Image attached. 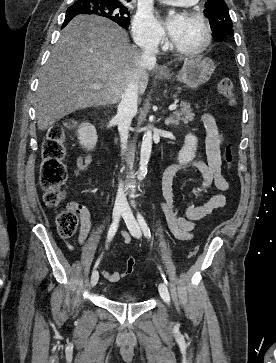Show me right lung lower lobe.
Segmentation results:
<instances>
[{"instance_id":"1","label":"right lung lower lobe","mask_w":276,"mask_h":363,"mask_svg":"<svg viewBox=\"0 0 276 363\" xmlns=\"http://www.w3.org/2000/svg\"><path fill=\"white\" fill-rule=\"evenodd\" d=\"M76 16V15H75ZM74 16H65V21H64V23H63V26H62V28L64 27V26H66L67 24H68V22L73 18Z\"/></svg>"}]
</instances>
